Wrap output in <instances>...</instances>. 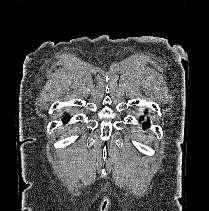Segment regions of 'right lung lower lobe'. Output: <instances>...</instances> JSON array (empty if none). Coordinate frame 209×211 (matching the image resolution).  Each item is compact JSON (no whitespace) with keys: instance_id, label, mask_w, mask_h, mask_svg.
Returning a JSON list of instances; mask_svg holds the SVG:
<instances>
[{"instance_id":"98d812e1","label":"right lung lower lobe","mask_w":209,"mask_h":211,"mask_svg":"<svg viewBox=\"0 0 209 211\" xmlns=\"http://www.w3.org/2000/svg\"><path fill=\"white\" fill-rule=\"evenodd\" d=\"M69 120V117L64 118V122H67Z\"/></svg>"}]
</instances>
